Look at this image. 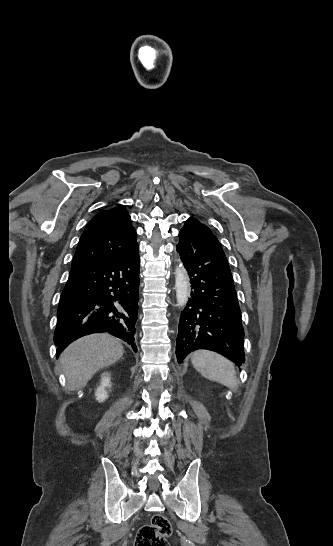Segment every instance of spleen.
Wrapping results in <instances>:
<instances>
[{"label":"spleen","mask_w":333,"mask_h":546,"mask_svg":"<svg viewBox=\"0 0 333 546\" xmlns=\"http://www.w3.org/2000/svg\"><path fill=\"white\" fill-rule=\"evenodd\" d=\"M194 368L205 378L219 382L229 388L237 385L235 369L225 357L214 352L196 351L191 357Z\"/></svg>","instance_id":"spleen-1"}]
</instances>
